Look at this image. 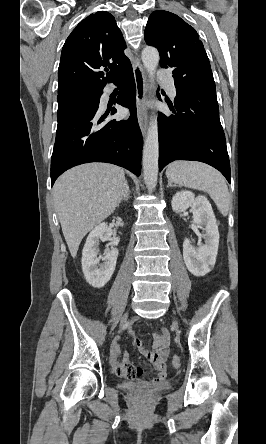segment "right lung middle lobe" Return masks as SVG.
Here are the masks:
<instances>
[{
	"label": "right lung middle lobe",
	"instance_id": "obj_1",
	"mask_svg": "<svg viewBox=\"0 0 266 444\" xmlns=\"http://www.w3.org/2000/svg\"><path fill=\"white\" fill-rule=\"evenodd\" d=\"M99 92L76 93L58 97V124L79 112L91 110L98 102Z\"/></svg>",
	"mask_w": 266,
	"mask_h": 444
}]
</instances>
